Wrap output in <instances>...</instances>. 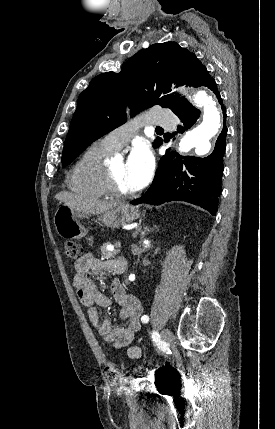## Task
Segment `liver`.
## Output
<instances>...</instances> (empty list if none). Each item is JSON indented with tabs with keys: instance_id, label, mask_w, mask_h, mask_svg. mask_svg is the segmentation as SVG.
<instances>
[{
	"instance_id": "6515ba94",
	"label": "liver",
	"mask_w": 275,
	"mask_h": 429,
	"mask_svg": "<svg viewBox=\"0 0 275 429\" xmlns=\"http://www.w3.org/2000/svg\"><path fill=\"white\" fill-rule=\"evenodd\" d=\"M55 198L76 212L86 215L103 214L119 205L117 202L83 199L68 191L57 193Z\"/></svg>"
}]
</instances>
